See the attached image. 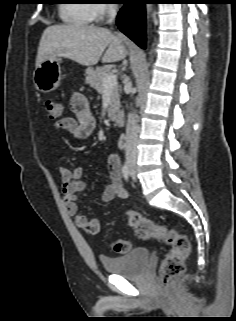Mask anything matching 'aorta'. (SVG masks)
I'll return each instance as SVG.
<instances>
[{"mask_svg": "<svg viewBox=\"0 0 236 321\" xmlns=\"http://www.w3.org/2000/svg\"><path fill=\"white\" fill-rule=\"evenodd\" d=\"M146 10H147V14L149 15L152 11L151 5H147Z\"/></svg>", "mask_w": 236, "mask_h": 321, "instance_id": "762f6f07", "label": "aorta"}]
</instances>
